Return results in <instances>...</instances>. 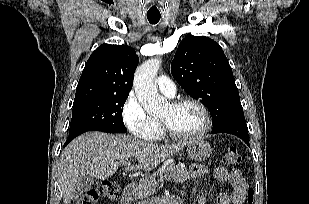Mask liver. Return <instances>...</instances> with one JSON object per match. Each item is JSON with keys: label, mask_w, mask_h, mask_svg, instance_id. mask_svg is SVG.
<instances>
[{"label": "liver", "mask_w": 309, "mask_h": 204, "mask_svg": "<svg viewBox=\"0 0 309 204\" xmlns=\"http://www.w3.org/2000/svg\"><path fill=\"white\" fill-rule=\"evenodd\" d=\"M189 141L158 145L128 135L88 132L74 139L61 153L59 185L64 204L73 197L76 182L83 176L108 179L120 166L125 170L150 171L178 153ZM129 159L138 164L131 166Z\"/></svg>", "instance_id": "obj_1"}]
</instances>
